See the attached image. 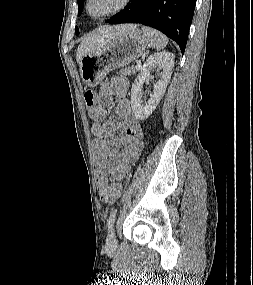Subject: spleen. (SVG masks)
<instances>
[{
	"mask_svg": "<svg viewBox=\"0 0 253 285\" xmlns=\"http://www.w3.org/2000/svg\"><path fill=\"white\" fill-rule=\"evenodd\" d=\"M142 32L148 39L149 45L152 48H156L158 51L163 49L168 43V38L155 29L142 27Z\"/></svg>",
	"mask_w": 253,
	"mask_h": 285,
	"instance_id": "spleen-1",
	"label": "spleen"
}]
</instances>
